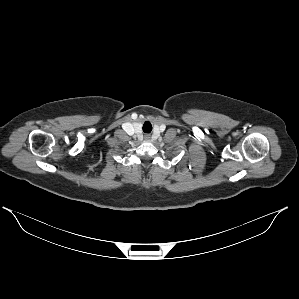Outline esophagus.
<instances>
[{
  "mask_svg": "<svg viewBox=\"0 0 299 299\" xmlns=\"http://www.w3.org/2000/svg\"><path fill=\"white\" fill-rule=\"evenodd\" d=\"M145 139L149 140L150 139V135L149 134H145Z\"/></svg>",
  "mask_w": 299,
  "mask_h": 299,
  "instance_id": "esophagus-1",
  "label": "esophagus"
}]
</instances>
